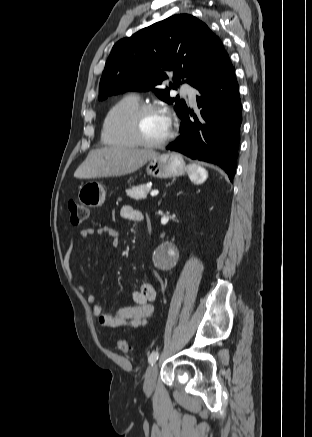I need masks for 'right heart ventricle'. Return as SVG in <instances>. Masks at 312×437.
<instances>
[{
	"label": "right heart ventricle",
	"instance_id": "right-heart-ventricle-1",
	"mask_svg": "<svg viewBox=\"0 0 312 437\" xmlns=\"http://www.w3.org/2000/svg\"><path fill=\"white\" fill-rule=\"evenodd\" d=\"M140 104V99L136 95H126L110 107L104 117L101 131L105 144L123 148L139 146L131 132L130 117Z\"/></svg>",
	"mask_w": 312,
	"mask_h": 437
}]
</instances>
